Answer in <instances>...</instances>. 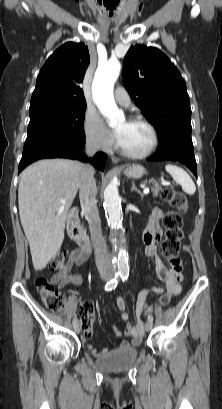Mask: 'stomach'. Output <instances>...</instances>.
<instances>
[{
    "label": "stomach",
    "instance_id": "0dacf381",
    "mask_svg": "<svg viewBox=\"0 0 222 409\" xmlns=\"http://www.w3.org/2000/svg\"><path fill=\"white\" fill-rule=\"evenodd\" d=\"M145 169L141 165H131L124 170V174L130 178H141Z\"/></svg>",
    "mask_w": 222,
    "mask_h": 409
}]
</instances>
